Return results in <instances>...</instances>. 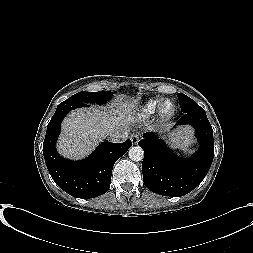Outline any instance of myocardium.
Masks as SVG:
<instances>
[{"mask_svg":"<svg viewBox=\"0 0 253 253\" xmlns=\"http://www.w3.org/2000/svg\"><path fill=\"white\" fill-rule=\"evenodd\" d=\"M167 104L171 105L170 110H166V105ZM158 112H159V116L162 119L171 118L176 113V104H175V102L172 99H169V98L163 99L159 104Z\"/></svg>","mask_w":253,"mask_h":253,"instance_id":"1","label":"myocardium"}]
</instances>
